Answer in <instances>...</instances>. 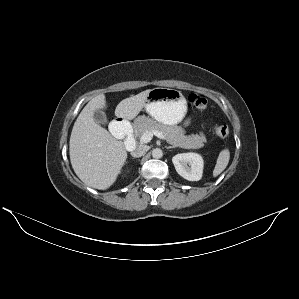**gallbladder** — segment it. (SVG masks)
<instances>
[{"mask_svg":"<svg viewBox=\"0 0 299 299\" xmlns=\"http://www.w3.org/2000/svg\"><path fill=\"white\" fill-rule=\"evenodd\" d=\"M94 119H95V121H96L97 123H99V124H103V125H105V124L108 123V121H107V117H106V115H105L103 112H99V111H97V112L95 113V115H94Z\"/></svg>","mask_w":299,"mask_h":299,"instance_id":"bac80fb5","label":"gallbladder"}]
</instances>
